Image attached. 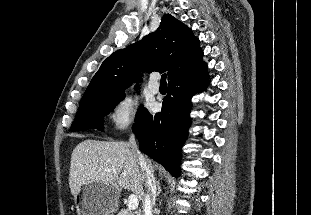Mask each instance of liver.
<instances>
[{
  "label": "liver",
  "instance_id": "obj_1",
  "mask_svg": "<svg viewBox=\"0 0 311 215\" xmlns=\"http://www.w3.org/2000/svg\"><path fill=\"white\" fill-rule=\"evenodd\" d=\"M150 168L151 162L148 161ZM88 182L111 184L119 190H130L144 200L145 177L127 142H105L86 139L71 155L69 186L75 197Z\"/></svg>",
  "mask_w": 311,
  "mask_h": 215
}]
</instances>
